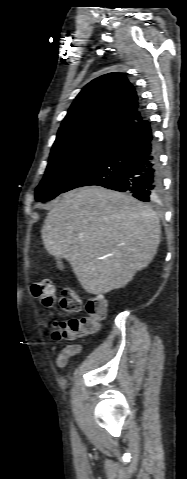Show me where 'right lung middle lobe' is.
Wrapping results in <instances>:
<instances>
[{
    "instance_id": "right-lung-middle-lobe-1",
    "label": "right lung middle lobe",
    "mask_w": 187,
    "mask_h": 479,
    "mask_svg": "<svg viewBox=\"0 0 187 479\" xmlns=\"http://www.w3.org/2000/svg\"><path fill=\"white\" fill-rule=\"evenodd\" d=\"M123 132L107 125H91L58 134L45 176L36 189V200L48 201L62 193L69 182Z\"/></svg>"
}]
</instances>
